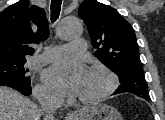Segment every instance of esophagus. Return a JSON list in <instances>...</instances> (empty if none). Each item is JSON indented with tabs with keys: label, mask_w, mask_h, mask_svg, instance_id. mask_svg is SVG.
I'll list each match as a JSON object with an SVG mask.
<instances>
[{
	"label": "esophagus",
	"mask_w": 165,
	"mask_h": 120,
	"mask_svg": "<svg viewBox=\"0 0 165 120\" xmlns=\"http://www.w3.org/2000/svg\"><path fill=\"white\" fill-rule=\"evenodd\" d=\"M72 117H73V115H72V114H68V115L66 116V120H71V119H72Z\"/></svg>",
	"instance_id": "esophagus-1"
}]
</instances>
